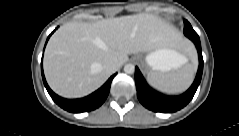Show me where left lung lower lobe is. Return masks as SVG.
<instances>
[{"label": "left lung lower lobe", "instance_id": "0a47b994", "mask_svg": "<svg viewBox=\"0 0 239 136\" xmlns=\"http://www.w3.org/2000/svg\"><path fill=\"white\" fill-rule=\"evenodd\" d=\"M187 37L191 39L198 51L199 68L196 78L191 87L182 95L165 96L151 89L145 82L141 72L136 67L135 83L137 89V97L141 104L154 112L171 113L180 110L186 106L193 98L202 78L203 72V56L199 36L196 32H190Z\"/></svg>", "mask_w": 239, "mask_h": 136}]
</instances>
